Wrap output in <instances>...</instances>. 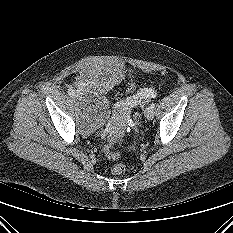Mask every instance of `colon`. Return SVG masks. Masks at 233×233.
<instances>
[{
    "instance_id": "obj_1",
    "label": "colon",
    "mask_w": 233,
    "mask_h": 233,
    "mask_svg": "<svg viewBox=\"0 0 233 233\" xmlns=\"http://www.w3.org/2000/svg\"><path fill=\"white\" fill-rule=\"evenodd\" d=\"M136 123H137V119L134 118L133 120H131L130 126H134ZM105 155L108 159H111V160H117L119 158V154L117 152L112 151L110 148L106 149ZM125 171H126V166L120 162L115 163L111 168V172L114 175H121Z\"/></svg>"
}]
</instances>
